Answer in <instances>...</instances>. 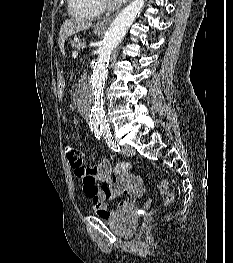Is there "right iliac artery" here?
Segmentation results:
<instances>
[{
  "mask_svg": "<svg viewBox=\"0 0 233 263\" xmlns=\"http://www.w3.org/2000/svg\"><path fill=\"white\" fill-rule=\"evenodd\" d=\"M95 137H96L97 139H100V138H101V133H96V134H95Z\"/></svg>",
  "mask_w": 233,
  "mask_h": 263,
  "instance_id": "right-iliac-artery-1",
  "label": "right iliac artery"
}]
</instances>
